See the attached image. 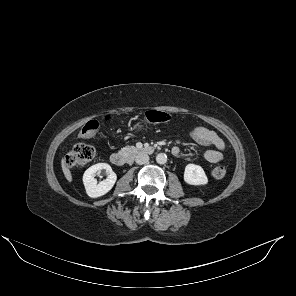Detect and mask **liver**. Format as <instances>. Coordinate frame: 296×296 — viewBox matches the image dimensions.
Segmentation results:
<instances>
[{"label":"liver","instance_id":"obj_1","mask_svg":"<svg viewBox=\"0 0 296 296\" xmlns=\"http://www.w3.org/2000/svg\"><path fill=\"white\" fill-rule=\"evenodd\" d=\"M61 165H62V170H63V173H64L65 178L69 182H72V174H71V171L69 170V168H68V166L66 164L65 158L62 159Z\"/></svg>","mask_w":296,"mask_h":296}]
</instances>
